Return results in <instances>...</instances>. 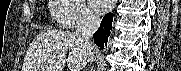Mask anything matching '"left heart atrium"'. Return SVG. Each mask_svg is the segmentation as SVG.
<instances>
[{
    "label": "left heart atrium",
    "instance_id": "left-heart-atrium-1",
    "mask_svg": "<svg viewBox=\"0 0 181 71\" xmlns=\"http://www.w3.org/2000/svg\"><path fill=\"white\" fill-rule=\"evenodd\" d=\"M110 0H94L92 1L94 8L98 12H104L106 11L110 6Z\"/></svg>",
    "mask_w": 181,
    "mask_h": 71
}]
</instances>
